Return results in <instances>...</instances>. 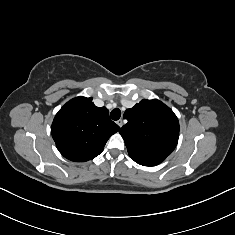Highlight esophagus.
<instances>
[{
    "instance_id": "esophagus-1",
    "label": "esophagus",
    "mask_w": 235,
    "mask_h": 235,
    "mask_svg": "<svg viewBox=\"0 0 235 235\" xmlns=\"http://www.w3.org/2000/svg\"><path fill=\"white\" fill-rule=\"evenodd\" d=\"M119 127H122L123 126V120L122 119H119L117 122Z\"/></svg>"
}]
</instances>
